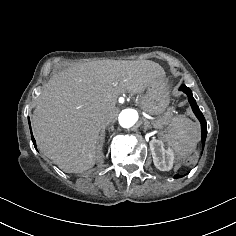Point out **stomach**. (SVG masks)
Instances as JSON below:
<instances>
[{
  "label": "stomach",
  "mask_w": 236,
  "mask_h": 236,
  "mask_svg": "<svg viewBox=\"0 0 236 236\" xmlns=\"http://www.w3.org/2000/svg\"><path fill=\"white\" fill-rule=\"evenodd\" d=\"M169 103V91L166 83L162 81H156L150 85L142 96V107L151 114L164 112Z\"/></svg>",
  "instance_id": "obj_1"
}]
</instances>
